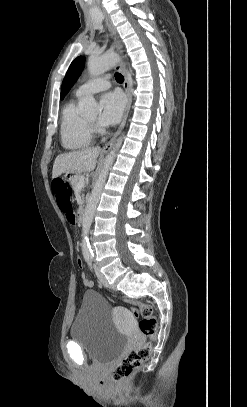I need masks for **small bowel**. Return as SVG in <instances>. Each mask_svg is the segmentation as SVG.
<instances>
[{
    "label": "small bowel",
    "instance_id": "obj_1",
    "mask_svg": "<svg viewBox=\"0 0 247 407\" xmlns=\"http://www.w3.org/2000/svg\"><path fill=\"white\" fill-rule=\"evenodd\" d=\"M66 220L69 224H75L76 222V217L75 213L73 210H71L68 214H65ZM79 266L82 265V262L79 260L78 261ZM82 280L85 286L91 287L93 285V282L87 277L85 273L82 274Z\"/></svg>",
    "mask_w": 247,
    "mask_h": 407
}]
</instances>
